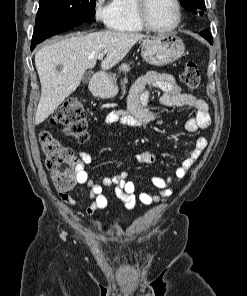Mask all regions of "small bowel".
I'll return each mask as SVG.
<instances>
[{"mask_svg": "<svg viewBox=\"0 0 247 296\" xmlns=\"http://www.w3.org/2000/svg\"><path fill=\"white\" fill-rule=\"evenodd\" d=\"M154 88H158L162 92L156 100L158 106L191 107L195 110L194 114L185 122V129L188 132L196 133L210 126L209 106L204 100L185 92L180 83L172 76L155 72L146 73L132 86L127 112L110 113L105 117L104 122L131 128L148 127L158 118V114L148 108L151 91ZM207 145L208 140L204 136H198L194 141L190 155L182 161L172 175L166 178L152 177L150 190L140 192L137 196L136 183L128 179L125 172L104 177L101 183L91 180L86 171V166L92 162V157L87 152H80L77 182L88 186L89 197L92 200L91 204L85 209V214L93 215L107 207L108 199L104 194L105 187L114 188V193L124 203L127 210H133L137 201L144 205H153L160 198L170 197L173 194L170 187L171 183H178L186 176ZM134 158L139 164H151L155 161L156 155L151 151H141L135 153ZM60 198L69 205L77 203V200L67 192H62Z\"/></svg>", "mask_w": 247, "mask_h": 296, "instance_id": "small-bowel-1", "label": "small bowel"}]
</instances>
